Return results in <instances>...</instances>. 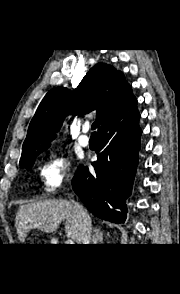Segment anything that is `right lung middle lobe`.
<instances>
[{"label": "right lung middle lobe", "instance_id": "right-lung-middle-lobe-1", "mask_svg": "<svg viewBox=\"0 0 180 294\" xmlns=\"http://www.w3.org/2000/svg\"><path fill=\"white\" fill-rule=\"evenodd\" d=\"M43 150L38 151L37 153H35V155H33L32 157L28 158L27 160L21 161L20 162V166L22 168H26L27 170L31 169V167L33 166L34 162H35V158L36 156L41 153Z\"/></svg>", "mask_w": 180, "mask_h": 294}]
</instances>
